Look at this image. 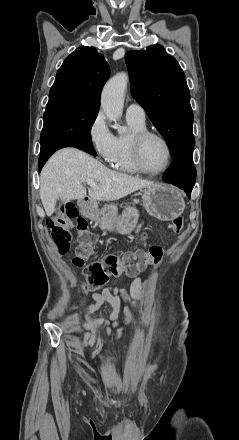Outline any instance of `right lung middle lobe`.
<instances>
[{
	"label": "right lung middle lobe",
	"mask_w": 239,
	"mask_h": 440,
	"mask_svg": "<svg viewBox=\"0 0 239 440\" xmlns=\"http://www.w3.org/2000/svg\"><path fill=\"white\" fill-rule=\"evenodd\" d=\"M98 111L83 110L66 104L46 106L44 126L40 136L41 149L56 141L78 137L91 140V127Z\"/></svg>",
	"instance_id": "right-lung-middle-lobe-1"
}]
</instances>
